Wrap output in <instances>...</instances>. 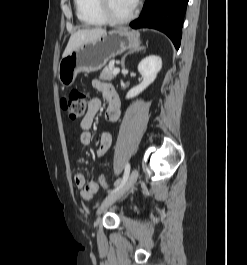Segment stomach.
Wrapping results in <instances>:
<instances>
[{
  "label": "stomach",
  "mask_w": 247,
  "mask_h": 265,
  "mask_svg": "<svg viewBox=\"0 0 247 265\" xmlns=\"http://www.w3.org/2000/svg\"><path fill=\"white\" fill-rule=\"evenodd\" d=\"M138 32L118 28L104 33L97 39L83 43L58 65L57 76L64 87H70L78 73H91L100 70L106 63L127 49L140 45Z\"/></svg>",
  "instance_id": "0dacf381"
}]
</instances>
